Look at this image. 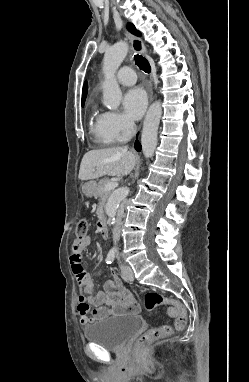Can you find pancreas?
I'll return each mask as SVG.
<instances>
[{"mask_svg":"<svg viewBox=\"0 0 249 382\" xmlns=\"http://www.w3.org/2000/svg\"><path fill=\"white\" fill-rule=\"evenodd\" d=\"M110 182L108 178L102 179L99 181V183L96 186L95 192H94V197L99 198V204L97 207L96 214L99 219H101L104 215L103 208L110 196V191L105 190V185Z\"/></svg>","mask_w":249,"mask_h":382,"instance_id":"pancreas-1","label":"pancreas"}]
</instances>
